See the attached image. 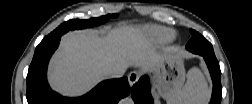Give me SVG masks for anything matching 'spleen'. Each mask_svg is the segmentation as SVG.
<instances>
[{
	"label": "spleen",
	"instance_id": "obj_1",
	"mask_svg": "<svg viewBox=\"0 0 252 104\" xmlns=\"http://www.w3.org/2000/svg\"><path fill=\"white\" fill-rule=\"evenodd\" d=\"M210 90L203 74L197 68L188 72L185 86L178 91L171 103L177 104H202L207 102Z\"/></svg>",
	"mask_w": 252,
	"mask_h": 104
}]
</instances>
